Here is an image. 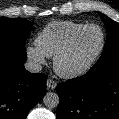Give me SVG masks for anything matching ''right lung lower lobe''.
Masks as SVG:
<instances>
[{
    "instance_id": "obj_1",
    "label": "right lung lower lobe",
    "mask_w": 119,
    "mask_h": 119,
    "mask_svg": "<svg viewBox=\"0 0 119 119\" xmlns=\"http://www.w3.org/2000/svg\"><path fill=\"white\" fill-rule=\"evenodd\" d=\"M25 59L0 53V119H25L46 93L47 76L28 72Z\"/></svg>"
}]
</instances>
